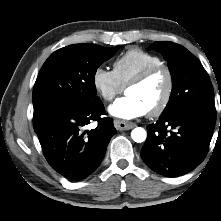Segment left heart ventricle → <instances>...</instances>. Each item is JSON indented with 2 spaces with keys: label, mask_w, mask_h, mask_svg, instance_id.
Here are the masks:
<instances>
[{
  "label": "left heart ventricle",
  "mask_w": 221,
  "mask_h": 221,
  "mask_svg": "<svg viewBox=\"0 0 221 221\" xmlns=\"http://www.w3.org/2000/svg\"><path fill=\"white\" fill-rule=\"evenodd\" d=\"M166 84L167 79L165 73L158 72L144 83L128 88L126 94L138 98L149 111L162 99Z\"/></svg>",
  "instance_id": "1"
}]
</instances>
